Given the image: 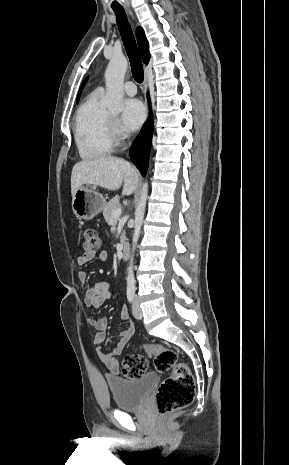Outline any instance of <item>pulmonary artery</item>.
<instances>
[{
    "label": "pulmonary artery",
    "instance_id": "pulmonary-artery-1",
    "mask_svg": "<svg viewBox=\"0 0 289 465\" xmlns=\"http://www.w3.org/2000/svg\"><path fill=\"white\" fill-rule=\"evenodd\" d=\"M102 90V88H99ZM124 91L127 95L129 96H133L137 93V88H136V85L134 84V82L132 81H127L125 84H124Z\"/></svg>",
    "mask_w": 289,
    "mask_h": 465
}]
</instances>
